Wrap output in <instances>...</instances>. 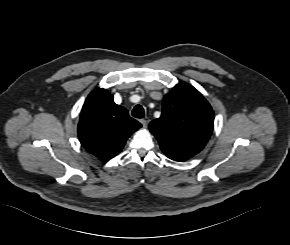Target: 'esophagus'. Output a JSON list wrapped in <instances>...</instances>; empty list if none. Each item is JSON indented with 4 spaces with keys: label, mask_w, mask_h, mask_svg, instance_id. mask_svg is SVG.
Wrapping results in <instances>:
<instances>
[{
    "label": "esophagus",
    "mask_w": 290,
    "mask_h": 245,
    "mask_svg": "<svg viewBox=\"0 0 290 245\" xmlns=\"http://www.w3.org/2000/svg\"><path fill=\"white\" fill-rule=\"evenodd\" d=\"M140 123L142 124V126H143L144 128H146L147 125H148V121L145 120V119H141V120H140Z\"/></svg>",
    "instance_id": "34e87169"
}]
</instances>
